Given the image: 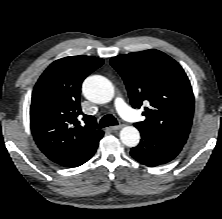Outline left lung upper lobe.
I'll return each mask as SVG.
<instances>
[{"mask_svg": "<svg viewBox=\"0 0 222 219\" xmlns=\"http://www.w3.org/2000/svg\"><path fill=\"white\" fill-rule=\"evenodd\" d=\"M134 108L147 104L135 126L185 144L194 112V95L182 67L165 53L150 49L113 57Z\"/></svg>", "mask_w": 222, "mask_h": 219, "instance_id": "left-lung-upper-lobe-1", "label": "left lung upper lobe"}]
</instances>
